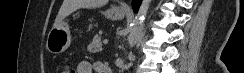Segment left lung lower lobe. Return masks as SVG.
Returning <instances> with one entry per match:
<instances>
[{
	"mask_svg": "<svg viewBox=\"0 0 244 73\" xmlns=\"http://www.w3.org/2000/svg\"><path fill=\"white\" fill-rule=\"evenodd\" d=\"M132 4H133L134 11L137 12L138 11V8H139V6L141 4V0H133V3Z\"/></svg>",
	"mask_w": 244,
	"mask_h": 73,
	"instance_id": "0a47b994",
	"label": "left lung lower lobe"
}]
</instances>
